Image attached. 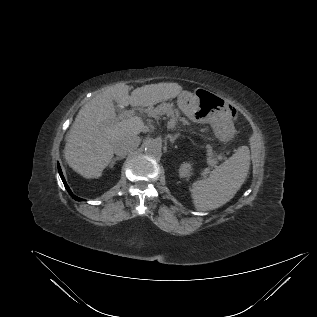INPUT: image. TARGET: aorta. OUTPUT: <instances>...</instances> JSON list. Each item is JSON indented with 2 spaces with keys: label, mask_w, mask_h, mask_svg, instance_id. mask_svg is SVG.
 Instances as JSON below:
<instances>
[{
  "label": "aorta",
  "mask_w": 317,
  "mask_h": 317,
  "mask_svg": "<svg viewBox=\"0 0 317 317\" xmlns=\"http://www.w3.org/2000/svg\"><path fill=\"white\" fill-rule=\"evenodd\" d=\"M144 149L146 154L159 157L161 155L162 144L158 140L149 139L144 143Z\"/></svg>",
  "instance_id": "762f6f07"
}]
</instances>
